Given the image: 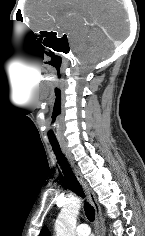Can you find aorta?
<instances>
[{
	"label": "aorta",
	"mask_w": 145,
	"mask_h": 236,
	"mask_svg": "<svg viewBox=\"0 0 145 236\" xmlns=\"http://www.w3.org/2000/svg\"><path fill=\"white\" fill-rule=\"evenodd\" d=\"M81 200L74 198L61 209L55 223L56 236H75L76 219Z\"/></svg>",
	"instance_id": "aorta-1"
}]
</instances>
